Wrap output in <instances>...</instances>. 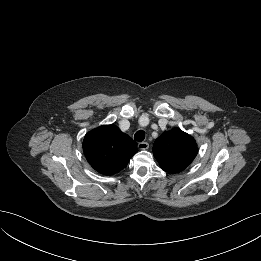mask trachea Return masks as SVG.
Masks as SVG:
<instances>
[{
    "label": "trachea",
    "mask_w": 261,
    "mask_h": 261,
    "mask_svg": "<svg viewBox=\"0 0 261 261\" xmlns=\"http://www.w3.org/2000/svg\"><path fill=\"white\" fill-rule=\"evenodd\" d=\"M145 139V132L142 130H139L134 135V140L138 142H142Z\"/></svg>",
    "instance_id": "3493384b"
}]
</instances>
